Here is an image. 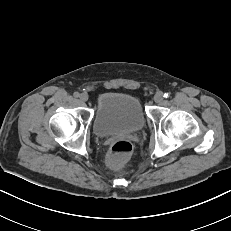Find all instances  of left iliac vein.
Segmentation results:
<instances>
[{
    "label": "left iliac vein",
    "mask_w": 231,
    "mask_h": 231,
    "mask_svg": "<svg viewBox=\"0 0 231 231\" xmlns=\"http://www.w3.org/2000/svg\"><path fill=\"white\" fill-rule=\"evenodd\" d=\"M163 98H164V96H163V94H162L161 92H157V93L154 95V97H153V99H154V101H155L156 103L162 102V101H163Z\"/></svg>",
    "instance_id": "4c4485c4"
}]
</instances>
